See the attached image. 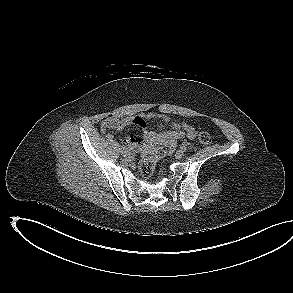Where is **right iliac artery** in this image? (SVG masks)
Here are the masks:
<instances>
[{
	"label": "right iliac artery",
	"instance_id": "right-iliac-artery-1",
	"mask_svg": "<svg viewBox=\"0 0 293 293\" xmlns=\"http://www.w3.org/2000/svg\"><path fill=\"white\" fill-rule=\"evenodd\" d=\"M117 146H118L119 149L124 148L123 145H120V144H117Z\"/></svg>",
	"mask_w": 293,
	"mask_h": 293
}]
</instances>
